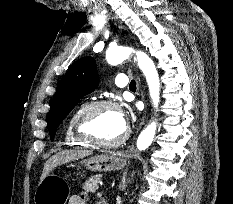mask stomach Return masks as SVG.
Here are the masks:
<instances>
[{
	"mask_svg": "<svg viewBox=\"0 0 233 204\" xmlns=\"http://www.w3.org/2000/svg\"><path fill=\"white\" fill-rule=\"evenodd\" d=\"M86 169L94 172L121 170L127 164V156L121 152L109 151L81 161ZM69 197L67 182L55 175H47L38 184L34 193V204H66Z\"/></svg>",
	"mask_w": 233,
	"mask_h": 204,
	"instance_id": "1",
	"label": "stomach"
}]
</instances>
